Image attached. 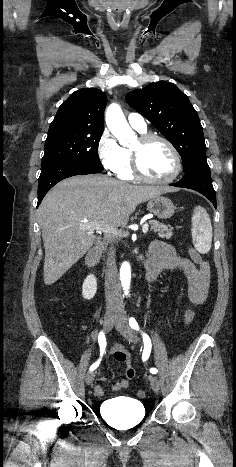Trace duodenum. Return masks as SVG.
Segmentation results:
<instances>
[{
    "mask_svg": "<svg viewBox=\"0 0 236 467\" xmlns=\"http://www.w3.org/2000/svg\"><path fill=\"white\" fill-rule=\"evenodd\" d=\"M104 249V242L96 243L87 254L86 264L91 270H95L99 267L100 257ZM143 270L146 273L147 279L151 276L148 266H143Z\"/></svg>",
    "mask_w": 236,
    "mask_h": 467,
    "instance_id": "410a0bca",
    "label": "duodenum"
}]
</instances>
